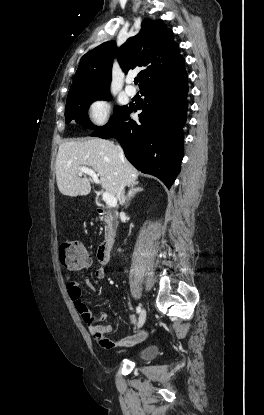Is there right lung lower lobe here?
<instances>
[{"label":"right lung lower lobe","instance_id":"98d812e1","mask_svg":"<svg viewBox=\"0 0 264 415\" xmlns=\"http://www.w3.org/2000/svg\"><path fill=\"white\" fill-rule=\"evenodd\" d=\"M145 101L139 109V120L130 113L138 108L126 107L111 122L97 127L91 136L116 137L125 156L138 170L158 177L171 187L181 169L183 158V126L188 108L187 72L141 89Z\"/></svg>","mask_w":264,"mask_h":415}]
</instances>
